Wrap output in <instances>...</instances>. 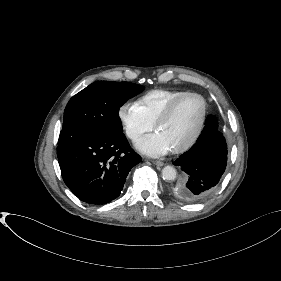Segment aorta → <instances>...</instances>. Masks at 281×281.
<instances>
[{
	"mask_svg": "<svg viewBox=\"0 0 281 281\" xmlns=\"http://www.w3.org/2000/svg\"><path fill=\"white\" fill-rule=\"evenodd\" d=\"M177 176V171L172 166H165L162 169V178L166 181H173Z\"/></svg>",
	"mask_w": 281,
	"mask_h": 281,
	"instance_id": "obj_1",
	"label": "aorta"
}]
</instances>
